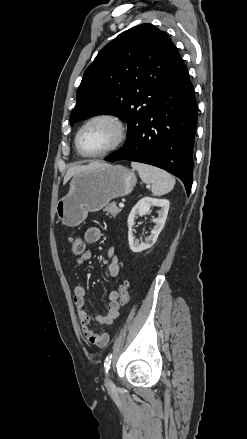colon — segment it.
Here are the masks:
<instances>
[{
    "instance_id": "colon-1",
    "label": "colon",
    "mask_w": 247,
    "mask_h": 439,
    "mask_svg": "<svg viewBox=\"0 0 247 439\" xmlns=\"http://www.w3.org/2000/svg\"><path fill=\"white\" fill-rule=\"evenodd\" d=\"M85 251V241L81 237H75L72 239V253L76 256H80ZM129 283L123 282L119 285V305L125 306L129 301Z\"/></svg>"
}]
</instances>
